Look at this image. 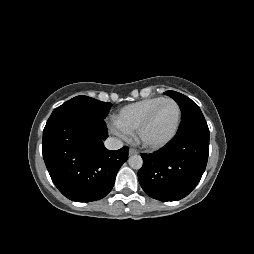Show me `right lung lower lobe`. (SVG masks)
I'll use <instances>...</instances> for the list:
<instances>
[{
	"instance_id": "obj_1",
	"label": "right lung lower lobe",
	"mask_w": 254,
	"mask_h": 254,
	"mask_svg": "<svg viewBox=\"0 0 254 254\" xmlns=\"http://www.w3.org/2000/svg\"><path fill=\"white\" fill-rule=\"evenodd\" d=\"M104 119L62 111L51 114L43 131V158L58 190L68 199L89 202L102 199L128 159L127 146L110 151Z\"/></svg>"
}]
</instances>
